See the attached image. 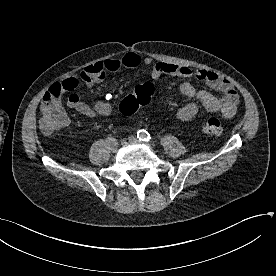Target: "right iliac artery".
<instances>
[{
    "label": "right iliac artery",
    "mask_w": 276,
    "mask_h": 276,
    "mask_svg": "<svg viewBox=\"0 0 276 276\" xmlns=\"http://www.w3.org/2000/svg\"><path fill=\"white\" fill-rule=\"evenodd\" d=\"M106 142L107 144L117 143V140L113 137H107Z\"/></svg>",
    "instance_id": "obj_1"
}]
</instances>
